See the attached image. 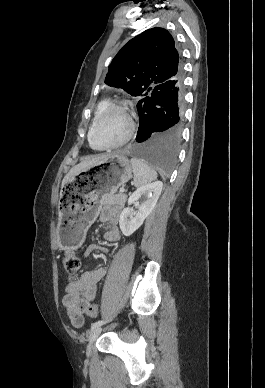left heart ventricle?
Returning a JSON list of instances; mask_svg holds the SVG:
<instances>
[{
    "mask_svg": "<svg viewBox=\"0 0 265 388\" xmlns=\"http://www.w3.org/2000/svg\"><path fill=\"white\" fill-rule=\"evenodd\" d=\"M127 128L126 116L117 110H111L98 123L95 137L101 145H112L124 136Z\"/></svg>",
    "mask_w": 265,
    "mask_h": 388,
    "instance_id": "obj_1",
    "label": "left heart ventricle"
}]
</instances>
